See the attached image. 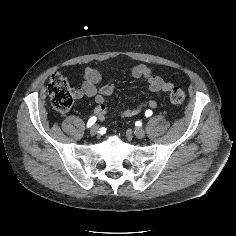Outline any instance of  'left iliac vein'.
<instances>
[{
	"instance_id": "left-iliac-vein-1",
	"label": "left iliac vein",
	"mask_w": 236,
	"mask_h": 236,
	"mask_svg": "<svg viewBox=\"0 0 236 236\" xmlns=\"http://www.w3.org/2000/svg\"><path fill=\"white\" fill-rule=\"evenodd\" d=\"M134 135L138 138V139H142L145 137V131L142 128H137L134 130Z\"/></svg>"
}]
</instances>
